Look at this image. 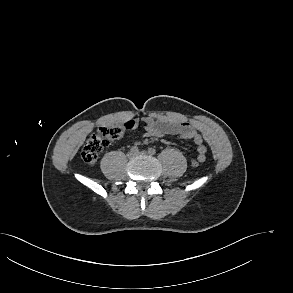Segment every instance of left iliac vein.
I'll return each instance as SVG.
<instances>
[{
    "mask_svg": "<svg viewBox=\"0 0 293 293\" xmlns=\"http://www.w3.org/2000/svg\"><path fill=\"white\" fill-rule=\"evenodd\" d=\"M147 153L145 151H140L138 152L136 155H140V156H143V155H146Z\"/></svg>",
    "mask_w": 293,
    "mask_h": 293,
    "instance_id": "1",
    "label": "left iliac vein"
}]
</instances>
